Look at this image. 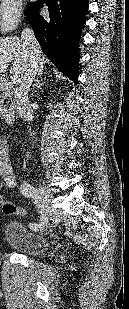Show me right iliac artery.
Listing matches in <instances>:
<instances>
[{
  "mask_svg": "<svg viewBox=\"0 0 129 309\" xmlns=\"http://www.w3.org/2000/svg\"><path fill=\"white\" fill-rule=\"evenodd\" d=\"M21 192L26 197H30V198L34 199L36 206L40 210V213H41L40 222L38 224L32 225V227L35 230H37V229L41 228V226L45 222V209H44V206L42 204L41 197L37 193V190L33 186H31L30 184L23 185V187L21 188Z\"/></svg>",
  "mask_w": 129,
  "mask_h": 309,
  "instance_id": "right-iliac-artery-1",
  "label": "right iliac artery"
}]
</instances>
